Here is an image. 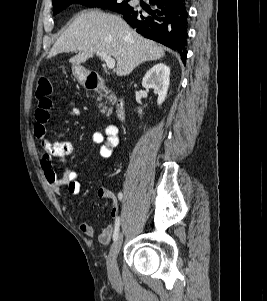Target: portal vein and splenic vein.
<instances>
[{
  "mask_svg": "<svg viewBox=\"0 0 267 301\" xmlns=\"http://www.w3.org/2000/svg\"><path fill=\"white\" fill-rule=\"evenodd\" d=\"M97 54L105 61L108 69H113L115 67V60L111 56L105 52H97Z\"/></svg>",
  "mask_w": 267,
  "mask_h": 301,
  "instance_id": "18ae733b",
  "label": "portal vein and splenic vein"
}]
</instances>
